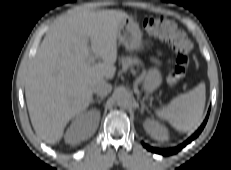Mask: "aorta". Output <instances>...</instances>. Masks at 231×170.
<instances>
[{
	"mask_svg": "<svg viewBox=\"0 0 231 170\" xmlns=\"http://www.w3.org/2000/svg\"><path fill=\"white\" fill-rule=\"evenodd\" d=\"M117 104L120 107L129 108L132 105V99L128 94L121 93L117 96Z\"/></svg>",
	"mask_w": 231,
	"mask_h": 170,
	"instance_id": "762f6f07",
	"label": "aorta"
}]
</instances>
